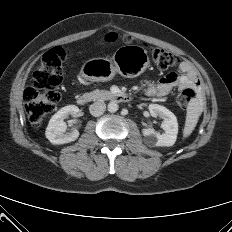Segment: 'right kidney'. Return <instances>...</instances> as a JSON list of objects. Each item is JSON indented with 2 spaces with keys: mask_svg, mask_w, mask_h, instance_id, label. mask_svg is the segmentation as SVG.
Returning a JSON list of instances; mask_svg holds the SVG:
<instances>
[{
  "mask_svg": "<svg viewBox=\"0 0 232 232\" xmlns=\"http://www.w3.org/2000/svg\"><path fill=\"white\" fill-rule=\"evenodd\" d=\"M79 112V108L75 105H68L61 108L55 113L49 121L46 128V138L52 144H65L75 141L79 137V131L74 129L70 133H65L67 125L64 119L68 118L69 115L76 116Z\"/></svg>",
  "mask_w": 232,
  "mask_h": 232,
  "instance_id": "obj_1",
  "label": "right kidney"
}]
</instances>
